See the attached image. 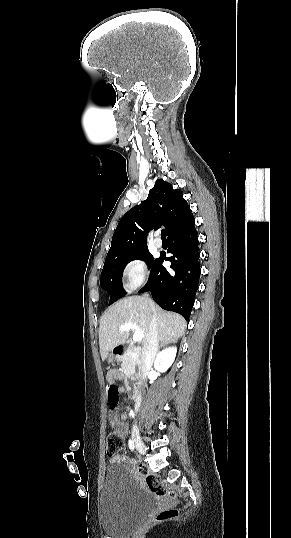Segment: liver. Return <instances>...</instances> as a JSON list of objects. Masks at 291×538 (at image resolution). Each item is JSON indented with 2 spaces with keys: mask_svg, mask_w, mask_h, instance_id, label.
<instances>
[{
  "mask_svg": "<svg viewBox=\"0 0 291 538\" xmlns=\"http://www.w3.org/2000/svg\"><path fill=\"white\" fill-rule=\"evenodd\" d=\"M154 313L161 343L169 344L184 335L186 321L179 314L164 311L144 296L126 297L110 306L100 318L99 346L102 360L106 359L114 348L127 341L131 330H119L124 323H135L142 330L144 344Z\"/></svg>",
  "mask_w": 291,
  "mask_h": 538,
  "instance_id": "obj_1",
  "label": "liver"
}]
</instances>
